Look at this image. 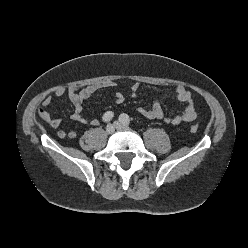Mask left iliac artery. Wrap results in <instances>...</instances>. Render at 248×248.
<instances>
[{
	"label": "left iliac artery",
	"mask_w": 248,
	"mask_h": 248,
	"mask_svg": "<svg viewBox=\"0 0 248 248\" xmlns=\"http://www.w3.org/2000/svg\"><path fill=\"white\" fill-rule=\"evenodd\" d=\"M119 121L122 122L125 125H129L130 118L127 114L123 113L119 116Z\"/></svg>",
	"instance_id": "1"
}]
</instances>
